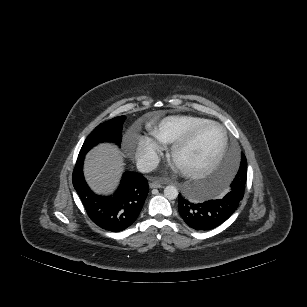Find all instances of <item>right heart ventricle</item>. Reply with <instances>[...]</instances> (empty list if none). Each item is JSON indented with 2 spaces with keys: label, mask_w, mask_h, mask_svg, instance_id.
Listing matches in <instances>:
<instances>
[{
  "label": "right heart ventricle",
  "mask_w": 307,
  "mask_h": 307,
  "mask_svg": "<svg viewBox=\"0 0 307 307\" xmlns=\"http://www.w3.org/2000/svg\"><path fill=\"white\" fill-rule=\"evenodd\" d=\"M208 119L194 115H173L161 119L153 128L152 134L163 145L174 144L193 127Z\"/></svg>",
  "instance_id": "e07e8e85"
}]
</instances>
